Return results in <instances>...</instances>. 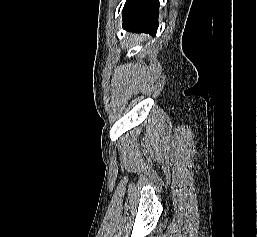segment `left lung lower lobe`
Masks as SVG:
<instances>
[{
  "label": "left lung lower lobe",
  "instance_id": "left-lung-lower-lobe-1",
  "mask_svg": "<svg viewBox=\"0 0 257 237\" xmlns=\"http://www.w3.org/2000/svg\"><path fill=\"white\" fill-rule=\"evenodd\" d=\"M158 0H127L123 14V28L155 35L158 28Z\"/></svg>",
  "mask_w": 257,
  "mask_h": 237
}]
</instances>
